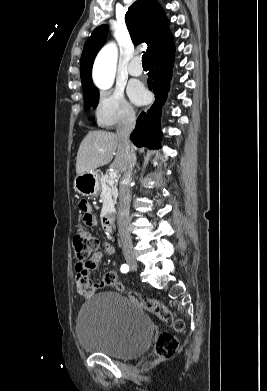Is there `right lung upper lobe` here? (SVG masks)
I'll use <instances>...</instances> for the list:
<instances>
[{"label": "right lung upper lobe", "mask_w": 267, "mask_h": 391, "mask_svg": "<svg viewBox=\"0 0 267 391\" xmlns=\"http://www.w3.org/2000/svg\"><path fill=\"white\" fill-rule=\"evenodd\" d=\"M125 21L134 44L146 43L148 58L173 44L169 20L156 0H137L128 9ZM108 26L97 27L87 40L80 62V75L84 92L95 89L92 82L94 59L106 41Z\"/></svg>", "instance_id": "right-lung-upper-lobe-1"}]
</instances>
